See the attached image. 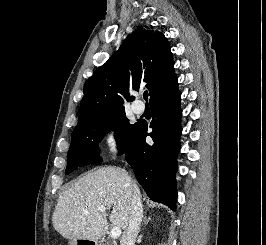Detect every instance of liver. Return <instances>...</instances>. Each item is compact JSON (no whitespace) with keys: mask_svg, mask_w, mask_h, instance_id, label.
Listing matches in <instances>:
<instances>
[{"mask_svg":"<svg viewBox=\"0 0 266 245\" xmlns=\"http://www.w3.org/2000/svg\"><path fill=\"white\" fill-rule=\"evenodd\" d=\"M130 185H136V181L115 167L90 171L60 193L52 215L55 231L64 239L98 241L108 231L109 209L112 225L126 231L130 221ZM100 205L106 211H98ZM84 209H88L86 215Z\"/></svg>","mask_w":266,"mask_h":245,"instance_id":"6515ba94","label":"liver"}]
</instances>
